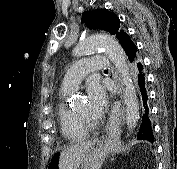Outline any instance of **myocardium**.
I'll use <instances>...</instances> for the list:
<instances>
[{
  "label": "myocardium",
  "instance_id": "myocardium-1",
  "mask_svg": "<svg viewBox=\"0 0 177 169\" xmlns=\"http://www.w3.org/2000/svg\"><path fill=\"white\" fill-rule=\"evenodd\" d=\"M74 114H75L76 118L78 119L79 123L88 132L98 128L103 122L102 118H99L98 120H90L87 117H85L84 115L77 113L76 111H74Z\"/></svg>",
  "mask_w": 177,
  "mask_h": 169
}]
</instances>
